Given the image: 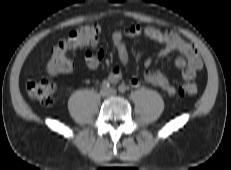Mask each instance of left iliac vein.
I'll return each instance as SVG.
<instances>
[{"mask_svg":"<svg viewBox=\"0 0 231 170\" xmlns=\"http://www.w3.org/2000/svg\"><path fill=\"white\" fill-rule=\"evenodd\" d=\"M108 94H109L110 96H115L116 90L110 89V90L108 91Z\"/></svg>","mask_w":231,"mask_h":170,"instance_id":"1","label":"left iliac vein"}]
</instances>
